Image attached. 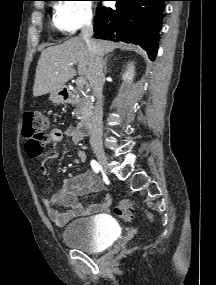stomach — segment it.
<instances>
[{"instance_id":"stomach-1","label":"stomach","mask_w":216,"mask_h":285,"mask_svg":"<svg viewBox=\"0 0 216 285\" xmlns=\"http://www.w3.org/2000/svg\"><path fill=\"white\" fill-rule=\"evenodd\" d=\"M49 99L54 103V104H62L66 102L67 96L64 93V88H60L57 90H54L50 93Z\"/></svg>"}]
</instances>
